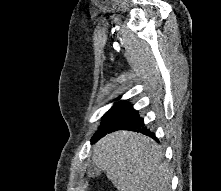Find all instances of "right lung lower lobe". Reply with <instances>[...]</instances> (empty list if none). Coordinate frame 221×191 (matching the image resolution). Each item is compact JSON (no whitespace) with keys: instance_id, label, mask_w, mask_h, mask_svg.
Segmentation results:
<instances>
[{"instance_id":"98d812e1","label":"right lung lower lobe","mask_w":221,"mask_h":191,"mask_svg":"<svg viewBox=\"0 0 221 191\" xmlns=\"http://www.w3.org/2000/svg\"><path fill=\"white\" fill-rule=\"evenodd\" d=\"M117 130L141 132L158 141L155 134L146 129L143 118H141L138 112L125 101H120L112 107L102 123L100 132L93 137L92 143L99 140V138L105 136L107 133Z\"/></svg>"}]
</instances>
